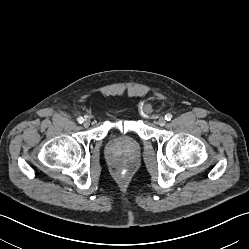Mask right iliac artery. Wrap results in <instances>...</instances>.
I'll return each mask as SVG.
<instances>
[{
  "label": "right iliac artery",
  "mask_w": 249,
  "mask_h": 249,
  "mask_svg": "<svg viewBox=\"0 0 249 249\" xmlns=\"http://www.w3.org/2000/svg\"><path fill=\"white\" fill-rule=\"evenodd\" d=\"M77 121H78V123H80V124H81V123H83V122H84V119H83V117H78V118H77Z\"/></svg>",
  "instance_id": "obj_1"
}]
</instances>
